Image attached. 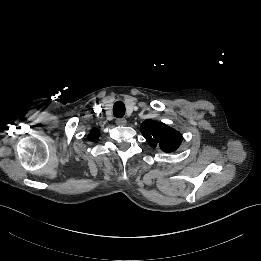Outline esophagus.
Listing matches in <instances>:
<instances>
[{"label":"esophagus","instance_id":"34e87169","mask_svg":"<svg viewBox=\"0 0 261 261\" xmlns=\"http://www.w3.org/2000/svg\"><path fill=\"white\" fill-rule=\"evenodd\" d=\"M116 124L119 126H125L127 124V120L125 118H118L116 120Z\"/></svg>","mask_w":261,"mask_h":261}]
</instances>
